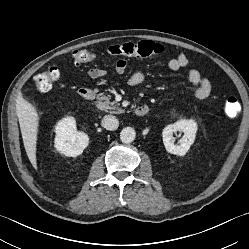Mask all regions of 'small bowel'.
I'll list each match as a JSON object with an SVG mask.
<instances>
[{
  "instance_id": "1",
  "label": "small bowel",
  "mask_w": 249,
  "mask_h": 249,
  "mask_svg": "<svg viewBox=\"0 0 249 249\" xmlns=\"http://www.w3.org/2000/svg\"><path fill=\"white\" fill-rule=\"evenodd\" d=\"M189 64V60L183 53L179 54L176 58H173L168 61L167 67L171 71H178ZM127 62L125 60H118L116 63V72L118 74H123L126 71ZM106 74V71L100 67H94L87 71V76L91 79H98L103 77ZM143 80V74L141 71L134 72L129 78V83L131 85H138ZM188 80L191 87L194 90V96L203 100L207 98L211 92V83L210 81L203 77L200 72L196 69H191L188 72Z\"/></svg>"
}]
</instances>
